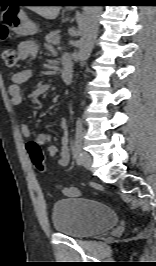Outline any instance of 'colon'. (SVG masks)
Instances as JSON below:
<instances>
[{"label":"colon","instance_id":"1","mask_svg":"<svg viewBox=\"0 0 156 266\" xmlns=\"http://www.w3.org/2000/svg\"><path fill=\"white\" fill-rule=\"evenodd\" d=\"M6 33L7 29L3 28L1 34L5 36ZM2 58L5 65L12 68L17 63L18 53L13 48H6L2 53ZM26 148L34 167L40 172L45 171V157L40 146L36 142H29L27 143Z\"/></svg>","mask_w":156,"mask_h":266}]
</instances>
